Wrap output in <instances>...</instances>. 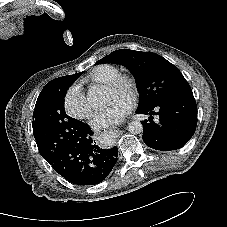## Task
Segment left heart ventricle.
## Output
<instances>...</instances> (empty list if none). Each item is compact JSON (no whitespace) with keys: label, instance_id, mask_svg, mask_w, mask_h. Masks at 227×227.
<instances>
[{"label":"left heart ventricle","instance_id":"b2bd125f","mask_svg":"<svg viewBox=\"0 0 227 227\" xmlns=\"http://www.w3.org/2000/svg\"><path fill=\"white\" fill-rule=\"evenodd\" d=\"M105 96L107 102H110L116 98L120 97H128V92L124 87L112 89V88H106L105 89Z\"/></svg>","mask_w":227,"mask_h":227}]
</instances>
